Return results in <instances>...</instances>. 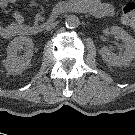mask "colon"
Returning a JSON list of instances; mask_svg holds the SVG:
<instances>
[{"mask_svg":"<svg viewBox=\"0 0 135 135\" xmlns=\"http://www.w3.org/2000/svg\"><path fill=\"white\" fill-rule=\"evenodd\" d=\"M121 18L123 23L135 32V2H128L122 6Z\"/></svg>","mask_w":135,"mask_h":135,"instance_id":"5ec220e1","label":"colon"}]
</instances>
